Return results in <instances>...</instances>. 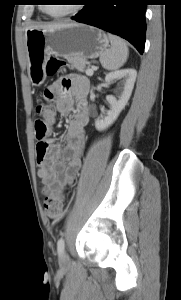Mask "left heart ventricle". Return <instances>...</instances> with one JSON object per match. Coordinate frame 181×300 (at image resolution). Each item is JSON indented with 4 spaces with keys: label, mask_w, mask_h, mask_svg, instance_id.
<instances>
[{
    "label": "left heart ventricle",
    "mask_w": 181,
    "mask_h": 300,
    "mask_svg": "<svg viewBox=\"0 0 181 300\" xmlns=\"http://www.w3.org/2000/svg\"><path fill=\"white\" fill-rule=\"evenodd\" d=\"M50 2L52 3H57L56 5H48L47 9L52 13V14H61L64 13L66 11H69L71 8H73L72 5H70V3H72V1H65V0H50ZM58 3H61L58 4Z\"/></svg>",
    "instance_id": "left-heart-ventricle-1"
}]
</instances>
